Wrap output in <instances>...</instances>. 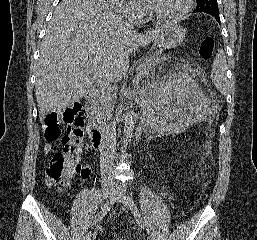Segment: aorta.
I'll return each mask as SVG.
<instances>
[{
  "label": "aorta",
  "instance_id": "obj_1",
  "mask_svg": "<svg viewBox=\"0 0 257 240\" xmlns=\"http://www.w3.org/2000/svg\"><path fill=\"white\" fill-rule=\"evenodd\" d=\"M136 122V114L134 111H129L126 114L125 118V126L123 132V143L127 144L129 140L132 138L133 130Z\"/></svg>",
  "mask_w": 257,
  "mask_h": 240
}]
</instances>
